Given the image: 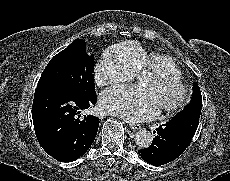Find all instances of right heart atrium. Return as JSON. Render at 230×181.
Segmentation results:
<instances>
[{
    "label": "right heart atrium",
    "mask_w": 230,
    "mask_h": 181,
    "mask_svg": "<svg viewBox=\"0 0 230 181\" xmlns=\"http://www.w3.org/2000/svg\"><path fill=\"white\" fill-rule=\"evenodd\" d=\"M127 77V72L109 56L95 67V80L99 86H117Z\"/></svg>",
    "instance_id": "obj_1"
}]
</instances>
